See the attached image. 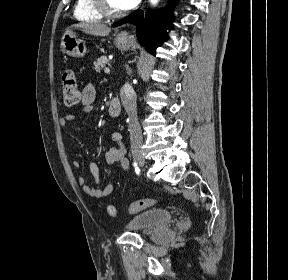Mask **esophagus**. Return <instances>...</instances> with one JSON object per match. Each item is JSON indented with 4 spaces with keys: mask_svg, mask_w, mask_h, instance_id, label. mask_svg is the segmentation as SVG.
Wrapping results in <instances>:
<instances>
[{
    "mask_svg": "<svg viewBox=\"0 0 288 280\" xmlns=\"http://www.w3.org/2000/svg\"><path fill=\"white\" fill-rule=\"evenodd\" d=\"M119 35L121 36V37H128V32L126 31V30H124V31H121L120 33H119Z\"/></svg>",
    "mask_w": 288,
    "mask_h": 280,
    "instance_id": "esophagus-1",
    "label": "esophagus"
}]
</instances>
